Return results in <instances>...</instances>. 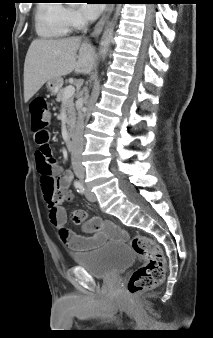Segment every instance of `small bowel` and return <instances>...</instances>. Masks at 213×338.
<instances>
[{"mask_svg": "<svg viewBox=\"0 0 213 338\" xmlns=\"http://www.w3.org/2000/svg\"><path fill=\"white\" fill-rule=\"evenodd\" d=\"M43 157H53L54 153L49 145L40 146ZM54 171L58 174V185L61 192L62 201H72L74 195L69 191V186L71 183L72 175L70 171L64 170L60 165H54ZM74 220L78 223L84 224L88 236L78 235L72 231L65 230L61 236V240L72 252H85L92 250L97 242L103 241L106 239L122 240L124 238V233L122 229L116 227L110 221H102L99 217H93L90 220H87V214L85 211L77 209L72 213ZM68 219V215L64 207H56V221L57 225L62 230L65 229V225ZM93 222L100 223L104 225L101 228H90V225Z\"/></svg>", "mask_w": 213, "mask_h": 338, "instance_id": "1", "label": "small bowel"}]
</instances>
